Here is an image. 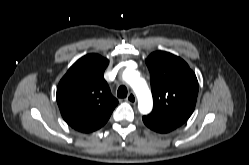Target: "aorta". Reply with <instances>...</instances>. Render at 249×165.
I'll list each match as a JSON object with an SVG mask.
<instances>
[{
    "label": "aorta",
    "instance_id": "762f6f07",
    "mask_svg": "<svg viewBox=\"0 0 249 165\" xmlns=\"http://www.w3.org/2000/svg\"><path fill=\"white\" fill-rule=\"evenodd\" d=\"M123 78L133 88L138 98V109L142 114H148L153 107V100L151 92L144 79L140 78L136 71L127 69L123 73Z\"/></svg>",
    "mask_w": 249,
    "mask_h": 165
}]
</instances>
